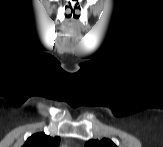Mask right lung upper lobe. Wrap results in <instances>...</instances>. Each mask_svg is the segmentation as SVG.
I'll return each mask as SVG.
<instances>
[{"mask_svg":"<svg viewBox=\"0 0 163 147\" xmlns=\"http://www.w3.org/2000/svg\"><path fill=\"white\" fill-rule=\"evenodd\" d=\"M60 137H51L45 133H36L27 139L23 147H57Z\"/></svg>","mask_w":163,"mask_h":147,"instance_id":"1","label":"right lung upper lobe"}]
</instances>
